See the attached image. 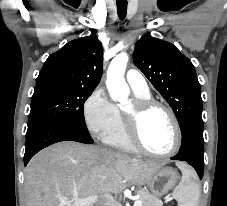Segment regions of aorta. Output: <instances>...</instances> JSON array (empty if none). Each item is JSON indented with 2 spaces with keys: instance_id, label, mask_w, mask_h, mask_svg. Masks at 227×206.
<instances>
[{
  "instance_id": "762f6f07",
  "label": "aorta",
  "mask_w": 227,
  "mask_h": 206,
  "mask_svg": "<svg viewBox=\"0 0 227 206\" xmlns=\"http://www.w3.org/2000/svg\"><path fill=\"white\" fill-rule=\"evenodd\" d=\"M125 52L118 54L110 63L107 71L106 86L113 101L125 103L128 100L130 90L124 79V73L128 62Z\"/></svg>"
}]
</instances>
